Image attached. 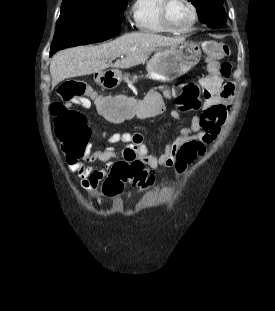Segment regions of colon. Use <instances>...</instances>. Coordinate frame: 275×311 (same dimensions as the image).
<instances>
[{
  "mask_svg": "<svg viewBox=\"0 0 275 311\" xmlns=\"http://www.w3.org/2000/svg\"><path fill=\"white\" fill-rule=\"evenodd\" d=\"M205 51L210 60V66L215 69L216 62L227 55L226 44L218 41H206ZM219 73L228 78L231 73V64L223 61L218 66ZM200 87L195 83H182L175 85L169 92V96L176 103L187 101L191 105L200 103ZM60 98L72 104H90L92 91L81 80L69 79L61 84L58 89ZM147 97H99L98 112L106 121H112V125H125V121H145L146 117L154 120L161 117L164 112L162 92H147ZM52 115L54 129L58 140L61 142L64 152L70 158L79 157L89 138V126L86 116L78 110L68 108L61 102L53 104ZM205 153L204 145L199 141L185 143L177 155L176 171L183 174L191 163ZM155 174L150 172L145 165L138 160L128 163L119 161L114 164L111 172L103 184V191L108 196L121 194L127 184L145 190L154 186Z\"/></svg>",
  "mask_w": 275,
  "mask_h": 311,
  "instance_id": "1",
  "label": "colon"
}]
</instances>
